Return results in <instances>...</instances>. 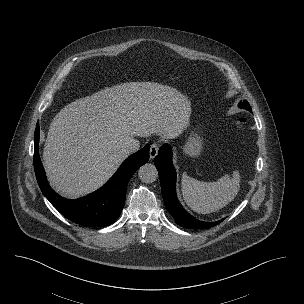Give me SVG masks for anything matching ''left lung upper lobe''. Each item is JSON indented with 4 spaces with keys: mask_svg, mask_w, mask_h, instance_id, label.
Wrapping results in <instances>:
<instances>
[{
    "mask_svg": "<svg viewBox=\"0 0 304 304\" xmlns=\"http://www.w3.org/2000/svg\"><path fill=\"white\" fill-rule=\"evenodd\" d=\"M239 107L252 112L251 106L249 105V103L246 100H244L243 102H240Z\"/></svg>",
    "mask_w": 304,
    "mask_h": 304,
    "instance_id": "1",
    "label": "left lung upper lobe"
}]
</instances>
